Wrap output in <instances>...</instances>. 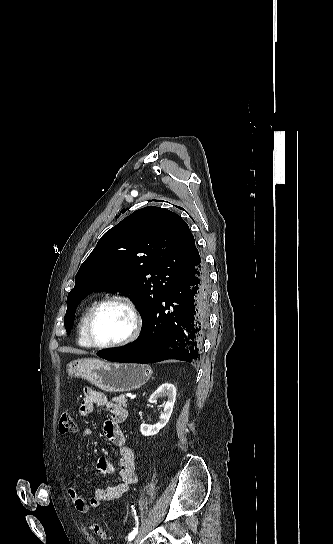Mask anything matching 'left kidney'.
Segmentation results:
<instances>
[{"mask_svg": "<svg viewBox=\"0 0 333 544\" xmlns=\"http://www.w3.org/2000/svg\"><path fill=\"white\" fill-rule=\"evenodd\" d=\"M159 397H167L168 400L163 405V412L160 415V420L155 425L141 424L140 432L143 436L156 435L162 428H164L173 412L174 403L176 400V388L173 384L164 383L150 396V403H157Z\"/></svg>", "mask_w": 333, "mask_h": 544, "instance_id": "obj_1", "label": "left kidney"}]
</instances>
